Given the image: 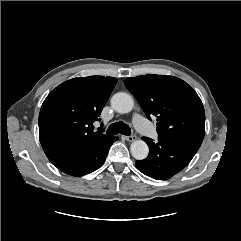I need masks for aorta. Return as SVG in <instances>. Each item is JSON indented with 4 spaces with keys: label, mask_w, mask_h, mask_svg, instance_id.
<instances>
[{
    "label": "aorta",
    "mask_w": 241,
    "mask_h": 241,
    "mask_svg": "<svg viewBox=\"0 0 241 241\" xmlns=\"http://www.w3.org/2000/svg\"><path fill=\"white\" fill-rule=\"evenodd\" d=\"M111 106L118 113H129L133 109L134 100L131 95L119 92L111 98ZM130 151L136 160H143L148 156L149 148L143 140H136L130 145Z\"/></svg>",
    "instance_id": "762f6f07"
}]
</instances>
